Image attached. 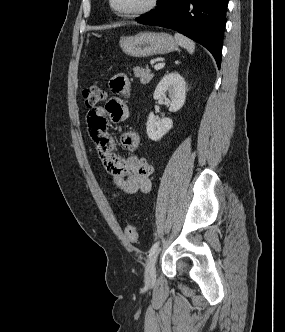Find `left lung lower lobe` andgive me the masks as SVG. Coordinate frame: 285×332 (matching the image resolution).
Here are the masks:
<instances>
[{
    "mask_svg": "<svg viewBox=\"0 0 285 332\" xmlns=\"http://www.w3.org/2000/svg\"><path fill=\"white\" fill-rule=\"evenodd\" d=\"M228 0H161L156 10L137 22L176 30L200 43L221 65Z\"/></svg>",
    "mask_w": 285,
    "mask_h": 332,
    "instance_id": "left-lung-lower-lobe-1",
    "label": "left lung lower lobe"
}]
</instances>
